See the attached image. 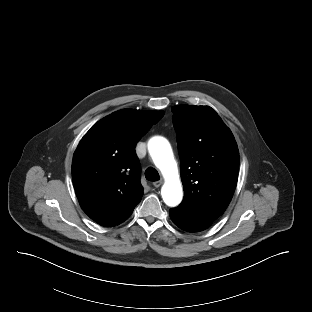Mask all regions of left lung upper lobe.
<instances>
[{"mask_svg":"<svg viewBox=\"0 0 312 312\" xmlns=\"http://www.w3.org/2000/svg\"><path fill=\"white\" fill-rule=\"evenodd\" d=\"M181 160L184 199L177 207L213 222L223 214L236 188L239 151L230 129L209 106L172 107Z\"/></svg>","mask_w":312,"mask_h":312,"instance_id":"left-lung-upper-lobe-1","label":"left lung upper lobe"}]
</instances>
